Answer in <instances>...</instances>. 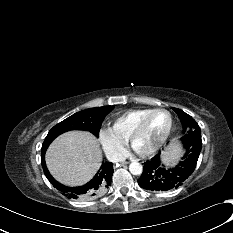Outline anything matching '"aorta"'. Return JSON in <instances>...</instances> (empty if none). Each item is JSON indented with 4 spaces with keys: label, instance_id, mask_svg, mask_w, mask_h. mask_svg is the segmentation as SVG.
Listing matches in <instances>:
<instances>
[{
    "label": "aorta",
    "instance_id": "1",
    "mask_svg": "<svg viewBox=\"0 0 233 233\" xmlns=\"http://www.w3.org/2000/svg\"><path fill=\"white\" fill-rule=\"evenodd\" d=\"M129 171L133 175H140L142 173V171H143V167L139 162H132L129 165Z\"/></svg>",
    "mask_w": 233,
    "mask_h": 233
}]
</instances>
